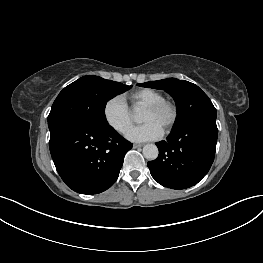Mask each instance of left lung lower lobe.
I'll return each instance as SVG.
<instances>
[{"mask_svg":"<svg viewBox=\"0 0 263 263\" xmlns=\"http://www.w3.org/2000/svg\"><path fill=\"white\" fill-rule=\"evenodd\" d=\"M216 119H203L173 129L157 143L158 157L147 163L152 177L162 186L185 189L197 184L209 171L215 156Z\"/></svg>","mask_w":263,"mask_h":263,"instance_id":"0a47b994","label":"left lung lower lobe"}]
</instances>
